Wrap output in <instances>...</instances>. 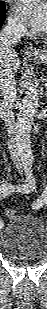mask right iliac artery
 I'll return each instance as SVG.
<instances>
[{
	"mask_svg": "<svg viewBox=\"0 0 47 309\" xmlns=\"http://www.w3.org/2000/svg\"><path fill=\"white\" fill-rule=\"evenodd\" d=\"M26 170V181L27 183L23 185L14 186L12 184H4L0 188V195L2 197L8 196L13 192H22V193H29L30 191L34 190L35 188V179L33 178L31 172L29 171L30 168L27 166L25 167ZM0 228H2V224H0Z\"/></svg>",
	"mask_w": 47,
	"mask_h": 309,
	"instance_id": "82829eb1",
	"label": "right iliac artery"
}]
</instances>
